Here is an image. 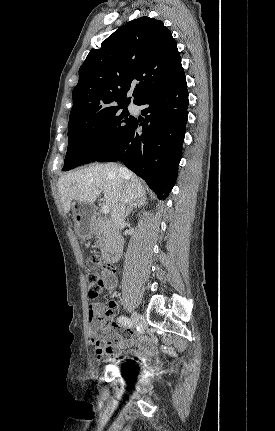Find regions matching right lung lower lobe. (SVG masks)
I'll return each mask as SVG.
<instances>
[{"mask_svg": "<svg viewBox=\"0 0 275 431\" xmlns=\"http://www.w3.org/2000/svg\"><path fill=\"white\" fill-rule=\"evenodd\" d=\"M188 92L183 69L166 85L147 94L137 105L143 122L134 118L118 141L96 161H123L143 178L158 198L173 188L181 159L188 117ZM142 127V132L137 128Z\"/></svg>", "mask_w": 275, "mask_h": 431, "instance_id": "1", "label": "right lung lower lobe"}]
</instances>
